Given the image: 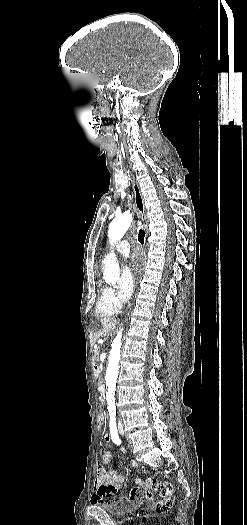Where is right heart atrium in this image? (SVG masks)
Returning a JSON list of instances; mask_svg holds the SVG:
<instances>
[{
	"label": "right heart atrium",
	"mask_w": 247,
	"mask_h": 525,
	"mask_svg": "<svg viewBox=\"0 0 247 525\" xmlns=\"http://www.w3.org/2000/svg\"><path fill=\"white\" fill-rule=\"evenodd\" d=\"M107 294H108V295H112L113 292H112V291H108Z\"/></svg>",
	"instance_id": "right-heart-atrium-1"
}]
</instances>
